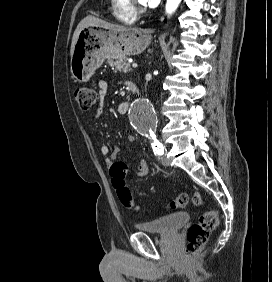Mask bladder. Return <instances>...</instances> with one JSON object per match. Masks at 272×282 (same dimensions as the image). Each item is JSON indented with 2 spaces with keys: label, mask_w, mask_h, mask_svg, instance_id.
Segmentation results:
<instances>
[{
  "label": "bladder",
  "mask_w": 272,
  "mask_h": 282,
  "mask_svg": "<svg viewBox=\"0 0 272 282\" xmlns=\"http://www.w3.org/2000/svg\"><path fill=\"white\" fill-rule=\"evenodd\" d=\"M189 219L188 212H178L155 220L139 222L135 228L145 233L171 234L175 233Z\"/></svg>",
  "instance_id": "bladder-1"
}]
</instances>
